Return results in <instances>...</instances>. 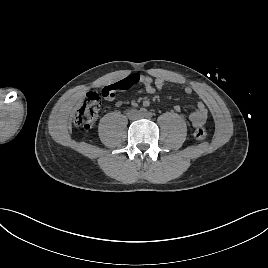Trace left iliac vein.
Returning a JSON list of instances; mask_svg holds the SVG:
<instances>
[{
	"instance_id": "4c4485c4",
	"label": "left iliac vein",
	"mask_w": 268,
	"mask_h": 268,
	"mask_svg": "<svg viewBox=\"0 0 268 268\" xmlns=\"http://www.w3.org/2000/svg\"><path fill=\"white\" fill-rule=\"evenodd\" d=\"M146 116H147V115H142V114H141V115H140V118H144V117H146Z\"/></svg>"
}]
</instances>
